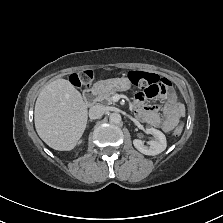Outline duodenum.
Segmentation results:
<instances>
[{
    "label": "duodenum",
    "instance_id": "410a0bca",
    "mask_svg": "<svg viewBox=\"0 0 223 223\" xmlns=\"http://www.w3.org/2000/svg\"><path fill=\"white\" fill-rule=\"evenodd\" d=\"M103 88L104 86L101 83H96L91 89L84 93V101L88 105H93L97 101L98 97L103 94Z\"/></svg>",
    "mask_w": 223,
    "mask_h": 223
}]
</instances>
